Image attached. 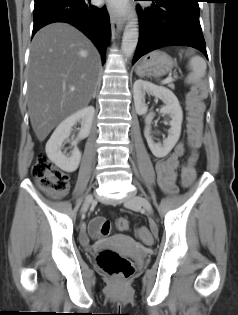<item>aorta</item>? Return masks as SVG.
<instances>
[{
	"mask_svg": "<svg viewBox=\"0 0 238 315\" xmlns=\"http://www.w3.org/2000/svg\"><path fill=\"white\" fill-rule=\"evenodd\" d=\"M139 37V29L135 19L128 22L125 27L123 38H122V52L126 56H131L137 46Z\"/></svg>",
	"mask_w": 238,
	"mask_h": 315,
	"instance_id": "762f6f07",
	"label": "aorta"
}]
</instances>
